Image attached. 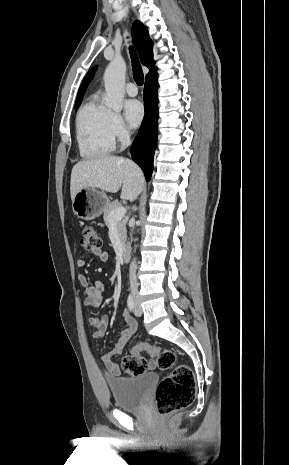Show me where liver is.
<instances>
[{"label":"liver","instance_id":"6515ba94","mask_svg":"<svg viewBox=\"0 0 289 465\" xmlns=\"http://www.w3.org/2000/svg\"><path fill=\"white\" fill-rule=\"evenodd\" d=\"M143 172L132 160L118 156L88 159L74 165L71 172L70 194L84 188H98L116 193L122 187L120 197L133 202L144 187Z\"/></svg>","mask_w":289,"mask_h":465}]
</instances>
